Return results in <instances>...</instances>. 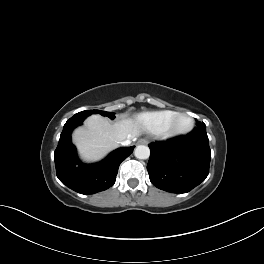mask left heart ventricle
<instances>
[{
	"label": "left heart ventricle",
	"mask_w": 264,
	"mask_h": 264,
	"mask_svg": "<svg viewBox=\"0 0 264 264\" xmlns=\"http://www.w3.org/2000/svg\"><path fill=\"white\" fill-rule=\"evenodd\" d=\"M189 124V120L186 117H180L176 121V126L178 128H185Z\"/></svg>",
	"instance_id": "b2bd125f"
}]
</instances>
